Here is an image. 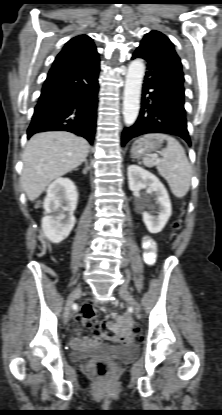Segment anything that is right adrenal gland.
Listing matches in <instances>:
<instances>
[{
	"instance_id": "obj_1",
	"label": "right adrenal gland",
	"mask_w": 222,
	"mask_h": 415,
	"mask_svg": "<svg viewBox=\"0 0 222 415\" xmlns=\"http://www.w3.org/2000/svg\"><path fill=\"white\" fill-rule=\"evenodd\" d=\"M86 166H87V162H85ZM88 169V167H86V170Z\"/></svg>"
}]
</instances>
